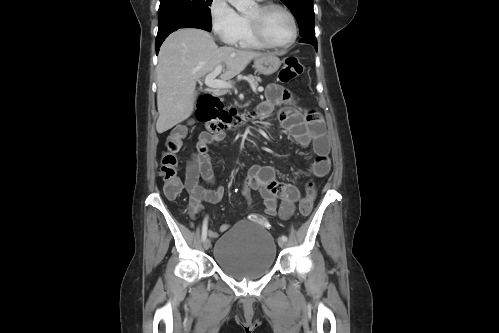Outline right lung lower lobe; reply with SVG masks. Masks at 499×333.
I'll list each match as a JSON object with an SVG mask.
<instances>
[{
    "label": "right lung lower lobe",
    "mask_w": 499,
    "mask_h": 333,
    "mask_svg": "<svg viewBox=\"0 0 499 333\" xmlns=\"http://www.w3.org/2000/svg\"><path fill=\"white\" fill-rule=\"evenodd\" d=\"M184 28H199V29H203V30H206V31H211L210 28H207V27H204V26H193V27H184ZM177 29L179 28H175V29H171L169 31H166L164 33H161V34H158L157 35V38H156V53L158 54L159 52V49H160V46L162 44V42L165 40V38L172 32L176 31Z\"/></svg>",
    "instance_id": "obj_1"
}]
</instances>
